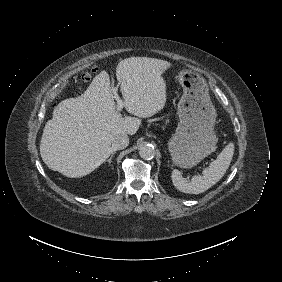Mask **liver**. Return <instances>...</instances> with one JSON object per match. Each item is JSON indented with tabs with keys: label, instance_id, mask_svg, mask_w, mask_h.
<instances>
[{
	"label": "liver",
	"instance_id": "obj_1",
	"mask_svg": "<svg viewBox=\"0 0 282 282\" xmlns=\"http://www.w3.org/2000/svg\"><path fill=\"white\" fill-rule=\"evenodd\" d=\"M170 67L164 60L131 57L120 61L116 77L125 109L148 118L166 103L163 72ZM123 118L116 110L110 78L103 70L79 97L61 101L43 130L40 154L49 169L71 178L83 177L99 167L111 154L112 138L133 135L141 120Z\"/></svg>",
	"mask_w": 282,
	"mask_h": 282
}]
</instances>
